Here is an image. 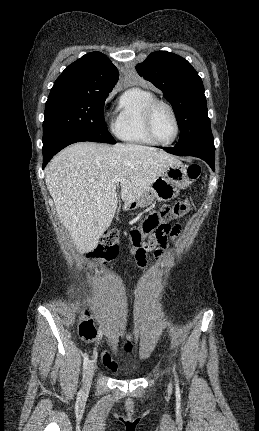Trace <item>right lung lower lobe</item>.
<instances>
[{"instance_id": "1", "label": "right lung lower lobe", "mask_w": 259, "mask_h": 431, "mask_svg": "<svg viewBox=\"0 0 259 431\" xmlns=\"http://www.w3.org/2000/svg\"><path fill=\"white\" fill-rule=\"evenodd\" d=\"M82 141H93V142H99L96 139L81 135L79 133H63L59 134L47 142L43 143V166L42 168H45L47 163L51 160V158L57 154L60 150L65 148L66 146L76 143V142H82Z\"/></svg>"}]
</instances>
